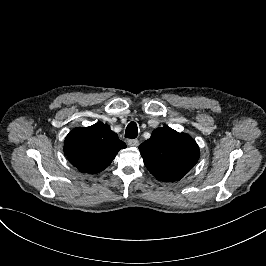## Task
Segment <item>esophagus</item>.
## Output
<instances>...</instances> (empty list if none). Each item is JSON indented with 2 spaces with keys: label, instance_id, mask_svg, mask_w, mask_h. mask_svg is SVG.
<instances>
[{
  "label": "esophagus",
  "instance_id": "obj_1",
  "mask_svg": "<svg viewBox=\"0 0 266 266\" xmlns=\"http://www.w3.org/2000/svg\"><path fill=\"white\" fill-rule=\"evenodd\" d=\"M127 144L130 147H136L139 145V141L137 139H128Z\"/></svg>",
  "mask_w": 266,
  "mask_h": 266
}]
</instances>
